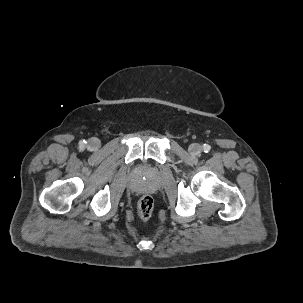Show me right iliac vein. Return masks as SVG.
<instances>
[{"instance_id":"obj_1","label":"right iliac vein","mask_w":303,"mask_h":303,"mask_svg":"<svg viewBox=\"0 0 303 303\" xmlns=\"http://www.w3.org/2000/svg\"><path fill=\"white\" fill-rule=\"evenodd\" d=\"M88 147L92 150H96L100 147V141L97 138H91L88 141Z\"/></svg>"}]
</instances>
